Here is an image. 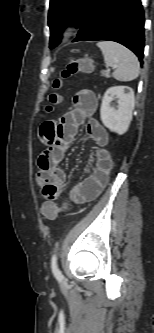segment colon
<instances>
[{"label":"colon","instance_id":"5ec220e1","mask_svg":"<svg viewBox=\"0 0 154 333\" xmlns=\"http://www.w3.org/2000/svg\"><path fill=\"white\" fill-rule=\"evenodd\" d=\"M91 70L92 63L89 59H74L63 70L62 77L65 78L83 72H90ZM52 86L53 91L47 96V112L53 111L62 102V96L59 92L62 86L61 79H55ZM66 211H68V205L58 206L51 201H45L41 206V213L48 220H54L59 214Z\"/></svg>","mask_w":154,"mask_h":333}]
</instances>
